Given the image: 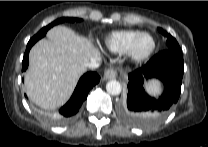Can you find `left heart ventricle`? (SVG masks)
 <instances>
[{
    "mask_svg": "<svg viewBox=\"0 0 208 147\" xmlns=\"http://www.w3.org/2000/svg\"><path fill=\"white\" fill-rule=\"evenodd\" d=\"M152 44V39L149 36H145L138 42L136 52L138 54H145L151 49Z\"/></svg>",
    "mask_w": 208,
    "mask_h": 147,
    "instance_id": "obj_1",
    "label": "left heart ventricle"
}]
</instances>
